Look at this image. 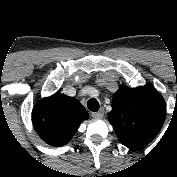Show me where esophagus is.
Listing matches in <instances>:
<instances>
[{"label": "esophagus", "instance_id": "esophagus-1", "mask_svg": "<svg viewBox=\"0 0 177 177\" xmlns=\"http://www.w3.org/2000/svg\"><path fill=\"white\" fill-rule=\"evenodd\" d=\"M91 116H92L93 118H102V117L104 116V111L101 110V111H99V112H92V113H91Z\"/></svg>", "mask_w": 177, "mask_h": 177}]
</instances>
